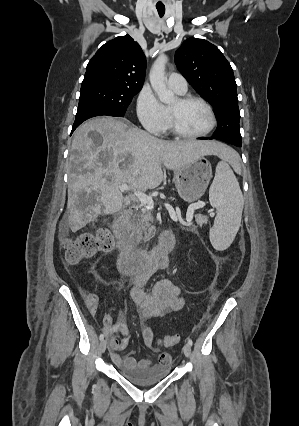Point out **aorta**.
<instances>
[{"label":"aorta","instance_id":"1","mask_svg":"<svg viewBox=\"0 0 299 426\" xmlns=\"http://www.w3.org/2000/svg\"><path fill=\"white\" fill-rule=\"evenodd\" d=\"M167 61L168 57L166 55H159L153 63L149 74L150 84L154 92L159 100L165 104L171 103L175 99L174 93L166 86L165 67Z\"/></svg>","mask_w":299,"mask_h":426}]
</instances>
